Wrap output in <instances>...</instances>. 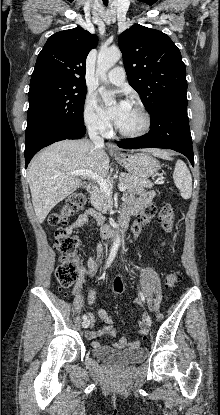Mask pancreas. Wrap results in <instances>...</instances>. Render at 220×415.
<instances>
[{
	"mask_svg": "<svg viewBox=\"0 0 220 415\" xmlns=\"http://www.w3.org/2000/svg\"><path fill=\"white\" fill-rule=\"evenodd\" d=\"M113 184V181H110ZM120 184H123L129 190H142L143 188H152L154 184L145 179L134 175L120 173ZM92 205L99 211L106 213L112 206L111 196L107 195L100 187H95L90 192Z\"/></svg>",
	"mask_w": 220,
	"mask_h": 415,
	"instance_id": "obj_1",
	"label": "pancreas"
}]
</instances>
